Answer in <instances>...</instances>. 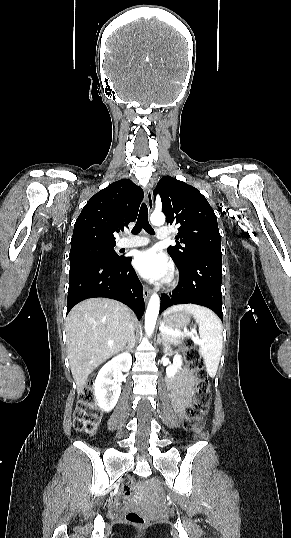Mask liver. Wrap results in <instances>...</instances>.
<instances>
[{
  "label": "liver",
  "mask_w": 291,
  "mask_h": 538,
  "mask_svg": "<svg viewBox=\"0 0 291 538\" xmlns=\"http://www.w3.org/2000/svg\"><path fill=\"white\" fill-rule=\"evenodd\" d=\"M130 324V309L106 298L85 300L69 312L67 351L78 394L92 371L124 348Z\"/></svg>",
  "instance_id": "obj_1"
}]
</instances>
